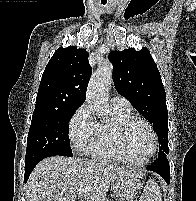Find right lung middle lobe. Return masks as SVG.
Masks as SVG:
<instances>
[{
	"instance_id": "obj_1",
	"label": "right lung middle lobe",
	"mask_w": 196,
	"mask_h": 201,
	"mask_svg": "<svg viewBox=\"0 0 196 201\" xmlns=\"http://www.w3.org/2000/svg\"><path fill=\"white\" fill-rule=\"evenodd\" d=\"M78 107L50 109L35 107L27 139L25 160L46 154L70 156L68 123Z\"/></svg>"
}]
</instances>
